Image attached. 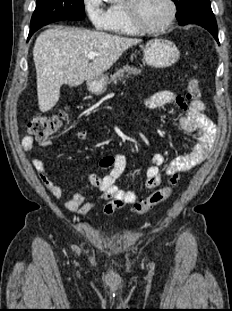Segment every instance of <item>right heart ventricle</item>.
Instances as JSON below:
<instances>
[{"label": "right heart ventricle", "instance_id": "obj_1", "mask_svg": "<svg viewBox=\"0 0 232 311\" xmlns=\"http://www.w3.org/2000/svg\"><path fill=\"white\" fill-rule=\"evenodd\" d=\"M110 22L107 30L118 35L133 36L138 32L130 24L124 3H113L109 7Z\"/></svg>", "mask_w": 232, "mask_h": 311}]
</instances>
